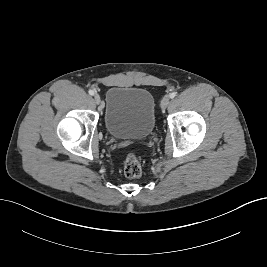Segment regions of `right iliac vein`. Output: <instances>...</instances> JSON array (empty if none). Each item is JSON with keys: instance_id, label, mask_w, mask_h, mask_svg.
<instances>
[{"instance_id": "obj_1", "label": "right iliac vein", "mask_w": 267, "mask_h": 267, "mask_svg": "<svg viewBox=\"0 0 267 267\" xmlns=\"http://www.w3.org/2000/svg\"><path fill=\"white\" fill-rule=\"evenodd\" d=\"M94 101H95L96 104L100 103V96L98 94L94 95Z\"/></svg>"}]
</instances>
